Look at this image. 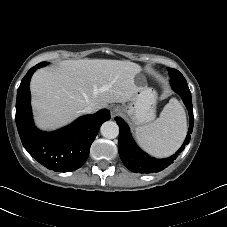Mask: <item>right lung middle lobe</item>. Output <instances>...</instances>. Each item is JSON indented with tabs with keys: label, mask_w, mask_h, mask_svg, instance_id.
<instances>
[{
	"label": "right lung middle lobe",
	"mask_w": 227,
	"mask_h": 227,
	"mask_svg": "<svg viewBox=\"0 0 227 227\" xmlns=\"http://www.w3.org/2000/svg\"><path fill=\"white\" fill-rule=\"evenodd\" d=\"M46 64H47L46 62H41V63L37 64V66H38V67H43V66H45Z\"/></svg>",
	"instance_id": "right-lung-middle-lobe-1"
}]
</instances>
